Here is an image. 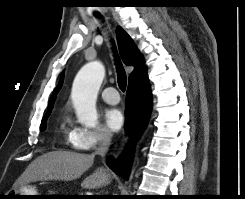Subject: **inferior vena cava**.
I'll return each mask as SVG.
<instances>
[{
    "mask_svg": "<svg viewBox=\"0 0 245 199\" xmlns=\"http://www.w3.org/2000/svg\"><path fill=\"white\" fill-rule=\"evenodd\" d=\"M111 137L112 134L108 130L102 131L99 136V146L94 154L105 156L111 144Z\"/></svg>",
    "mask_w": 245,
    "mask_h": 199,
    "instance_id": "602c4592",
    "label": "inferior vena cava"
}]
</instances>
